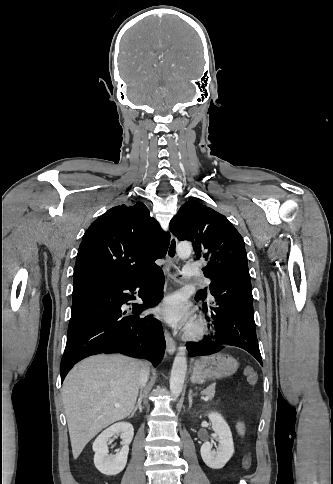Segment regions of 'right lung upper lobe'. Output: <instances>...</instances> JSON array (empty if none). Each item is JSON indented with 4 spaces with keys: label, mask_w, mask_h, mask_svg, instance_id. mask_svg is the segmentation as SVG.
Listing matches in <instances>:
<instances>
[{
    "label": "right lung upper lobe",
    "mask_w": 333,
    "mask_h": 484,
    "mask_svg": "<svg viewBox=\"0 0 333 484\" xmlns=\"http://www.w3.org/2000/svg\"><path fill=\"white\" fill-rule=\"evenodd\" d=\"M170 234L151 218L147 207L111 208L96 219L82 238L74 268V285L90 280L133 281L157 265Z\"/></svg>",
    "instance_id": "right-lung-upper-lobe-1"
}]
</instances>
